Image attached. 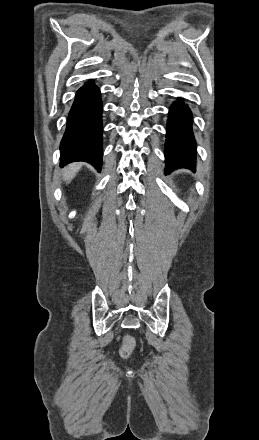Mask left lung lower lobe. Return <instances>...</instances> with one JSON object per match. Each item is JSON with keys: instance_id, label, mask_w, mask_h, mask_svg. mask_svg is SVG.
Listing matches in <instances>:
<instances>
[{"instance_id": "0a47b994", "label": "left lung lower lobe", "mask_w": 259, "mask_h": 440, "mask_svg": "<svg viewBox=\"0 0 259 440\" xmlns=\"http://www.w3.org/2000/svg\"><path fill=\"white\" fill-rule=\"evenodd\" d=\"M166 137V172L178 168L194 170L196 145L192 132V115L181 101L170 108Z\"/></svg>"}]
</instances>
